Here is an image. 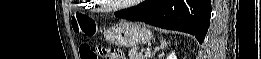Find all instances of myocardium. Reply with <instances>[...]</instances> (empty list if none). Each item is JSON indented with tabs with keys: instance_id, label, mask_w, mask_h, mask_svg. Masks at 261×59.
<instances>
[{
	"instance_id": "myocardium-1",
	"label": "myocardium",
	"mask_w": 261,
	"mask_h": 59,
	"mask_svg": "<svg viewBox=\"0 0 261 59\" xmlns=\"http://www.w3.org/2000/svg\"><path fill=\"white\" fill-rule=\"evenodd\" d=\"M95 3H97V5L99 6V9L104 12H116V11L126 9L129 6V4L108 6V5H105L103 2L100 3V1H95Z\"/></svg>"
}]
</instances>
